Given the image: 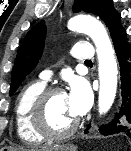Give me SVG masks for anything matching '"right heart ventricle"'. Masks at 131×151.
Listing matches in <instances>:
<instances>
[{"mask_svg": "<svg viewBox=\"0 0 131 151\" xmlns=\"http://www.w3.org/2000/svg\"><path fill=\"white\" fill-rule=\"evenodd\" d=\"M44 81H35L26 85L19 93L15 104V127L19 138L28 144L43 141L32 125V108L36 98L45 89Z\"/></svg>", "mask_w": 131, "mask_h": 151, "instance_id": "right-heart-ventricle-1", "label": "right heart ventricle"}]
</instances>
